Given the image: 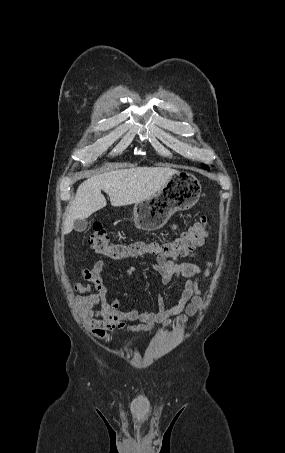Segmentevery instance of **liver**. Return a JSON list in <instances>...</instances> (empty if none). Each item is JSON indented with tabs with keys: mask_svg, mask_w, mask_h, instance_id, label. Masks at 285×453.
<instances>
[{
	"mask_svg": "<svg viewBox=\"0 0 285 453\" xmlns=\"http://www.w3.org/2000/svg\"><path fill=\"white\" fill-rule=\"evenodd\" d=\"M177 172L166 167H135L88 178L78 187L66 215L62 234L72 231L75 220L88 218L107 205L101 190L109 195L112 206L136 204L155 195Z\"/></svg>",
	"mask_w": 285,
	"mask_h": 453,
	"instance_id": "liver-1",
	"label": "liver"
}]
</instances>
